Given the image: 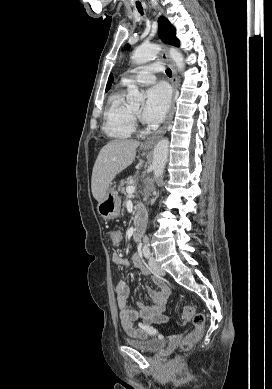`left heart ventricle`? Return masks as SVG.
<instances>
[{
	"instance_id": "obj_1",
	"label": "left heart ventricle",
	"mask_w": 272,
	"mask_h": 389,
	"mask_svg": "<svg viewBox=\"0 0 272 389\" xmlns=\"http://www.w3.org/2000/svg\"><path fill=\"white\" fill-rule=\"evenodd\" d=\"M133 111L136 112V113H140L141 111V107H136V108H133Z\"/></svg>"
}]
</instances>
